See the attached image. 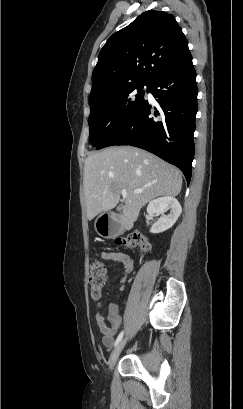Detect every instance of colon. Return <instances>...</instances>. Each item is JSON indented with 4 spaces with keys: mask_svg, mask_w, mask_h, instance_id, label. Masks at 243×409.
Returning a JSON list of instances; mask_svg holds the SVG:
<instances>
[{
    "mask_svg": "<svg viewBox=\"0 0 243 409\" xmlns=\"http://www.w3.org/2000/svg\"><path fill=\"white\" fill-rule=\"evenodd\" d=\"M115 244L118 246L133 247L138 245L141 250L148 251L151 243L145 237L137 234H131L124 238H117ZM106 270L99 261H94L90 265L88 283L90 286L92 298L99 300L102 297V290L105 283Z\"/></svg>",
    "mask_w": 243,
    "mask_h": 409,
    "instance_id": "obj_1",
    "label": "colon"
}]
</instances>
